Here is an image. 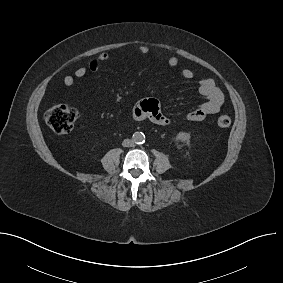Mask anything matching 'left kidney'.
Masks as SVG:
<instances>
[{"mask_svg":"<svg viewBox=\"0 0 283 283\" xmlns=\"http://www.w3.org/2000/svg\"><path fill=\"white\" fill-rule=\"evenodd\" d=\"M190 133L187 132H179L176 135V140L181 141V142H189L190 140Z\"/></svg>","mask_w":283,"mask_h":283,"instance_id":"1","label":"left kidney"}]
</instances>
